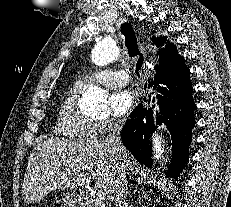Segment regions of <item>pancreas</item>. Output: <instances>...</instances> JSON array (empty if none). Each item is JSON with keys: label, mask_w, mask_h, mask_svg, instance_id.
I'll return each instance as SVG.
<instances>
[{"label": "pancreas", "mask_w": 231, "mask_h": 207, "mask_svg": "<svg viewBox=\"0 0 231 207\" xmlns=\"http://www.w3.org/2000/svg\"><path fill=\"white\" fill-rule=\"evenodd\" d=\"M92 207H105V205L102 202H100V201L93 200Z\"/></svg>", "instance_id": "cf45deb5"}]
</instances>
